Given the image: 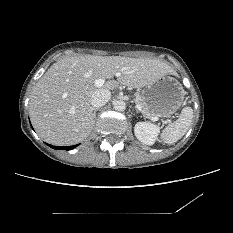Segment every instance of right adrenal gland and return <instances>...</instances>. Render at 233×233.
<instances>
[{
  "instance_id": "obj_1",
  "label": "right adrenal gland",
  "mask_w": 233,
  "mask_h": 233,
  "mask_svg": "<svg viewBox=\"0 0 233 233\" xmlns=\"http://www.w3.org/2000/svg\"><path fill=\"white\" fill-rule=\"evenodd\" d=\"M97 111H98V108H95V109H94V112H93V113H94V118H96V112H97Z\"/></svg>"
}]
</instances>
